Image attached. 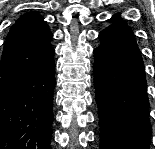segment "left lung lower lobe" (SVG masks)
I'll return each mask as SVG.
<instances>
[{
	"label": "left lung lower lobe",
	"instance_id": "obj_1",
	"mask_svg": "<svg viewBox=\"0 0 155 149\" xmlns=\"http://www.w3.org/2000/svg\"><path fill=\"white\" fill-rule=\"evenodd\" d=\"M100 32L94 84L101 149H149L151 125L144 64L135 37L119 15Z\"/></svg>",
	"mask_w": 155,
	"mask_h": 149
}]
</instances>
